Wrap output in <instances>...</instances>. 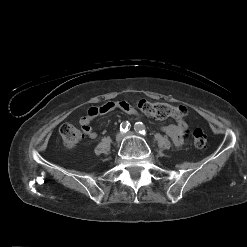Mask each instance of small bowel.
<instances>
[{"label": "small bowel", "mask_w": 247, "mask_h": 247, "mask_svg": "<svg viewBox=\"0 0 247 247\" xmlns=\"http://www.w3.org/2000/svg\"><path fill=\"white\" fill-rule=\"evenodd\" d=\"M114 109H120L130 115H137L135 108L126 101L107 102L101 106H95L88 109L87 114L80 118L79 124L87 137L95 139L96 132L91 127V122L100 115H103ZM165 132L173 141L175 146H182L187 138L189 128L183 119L177 120L176 124H170L162 127Z\"/></svg>", "instance_id": "small-bowel-1"}]
</instances>
